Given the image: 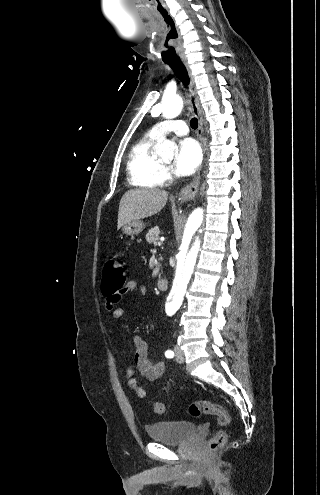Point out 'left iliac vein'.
<instances>
[{
    "label": "left iliac vein",
    "instance_id": "obj_1",
    "mask_svg": "<svg viewBox=\"0 0 320 495\" xmlns=\"http://www.w3.org/2000/svg\"><path fill=\"white\" fill-rule=\"evenodd\" d=\"M174 353H175V358H176L177 362L183 363L184 362V353L179 346L176 345L174 347Z\"/></svg>",
    "mask_w": 320,
    "mask_h": 495
}]
</instances>
